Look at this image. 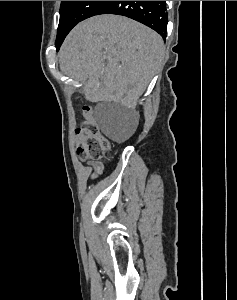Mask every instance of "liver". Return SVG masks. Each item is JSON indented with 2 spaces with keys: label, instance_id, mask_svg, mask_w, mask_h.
<instances>
[{
  "label": "liver",
  "instance_id": "obj_1",
  "mask_svg": "<svg viewBox=\"0 0 237 300\" xmlns=\"http://www.w3.org/2000/svg\"><path fill=\"white\" fill-rule=\"evenodd\" d=\"M164 41L158 33L120 15H97L67 35L60 51L63 73L92 77L89 97L114 95L135 107L160 69Z\"/></svg>",
  "mask_w": 237,
  "mask_h": 300
}]
</instances>
